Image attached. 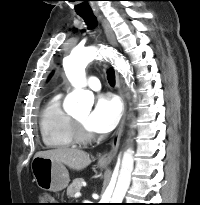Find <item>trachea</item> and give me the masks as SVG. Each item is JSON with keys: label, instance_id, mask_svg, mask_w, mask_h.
Here are the masks:
<instances>
[{"label": "trachea", "instance_id": "obj_1", "mask_svg": "<svg viewBox=\"0 0 200 205\" xmlns=\"http://www.w3.org/2000/svg\"><path fill=\"white\" fill-rule=\"evenodd\" d=\"M79 16L84 19L89 29H93L97 25V20L93 13L79 14ZM107 79L111 85H115V72L113 69L107 71Z\"/></svg>", "mask_w": 200, "mask_h": 205}]
</instances>
